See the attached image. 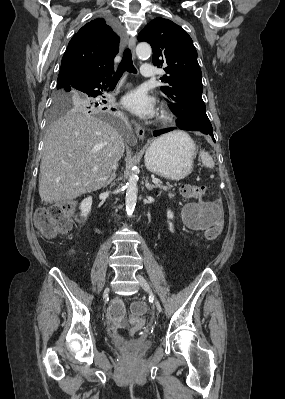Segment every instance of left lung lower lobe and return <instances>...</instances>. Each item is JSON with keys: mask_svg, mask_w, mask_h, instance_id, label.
Returning a JSON list of instances; mask_svg holds the SVG:
<instances>
[{"mask_svg": "<svg viewBox=\"0 0 285 399\" xmlns=\"http://www.w3.org/2000/svg\"><path fill=\"white\" fill-rule=\"evenodd\" d=\"M173 129H175V127H174V128H169V129H164V130L154 131V132H153V135H154V136H159V135L164 134V133H166V132L172 131ZM212 137H213V136H212ZM213 140H214V142H215L214 137H213Z\"/></svg>", "mask_w": 285, "mask_h": 399, "instance_id": "0a47b994", "label": "left lung lower lobe"}]
</instances>
